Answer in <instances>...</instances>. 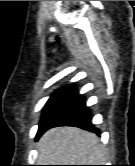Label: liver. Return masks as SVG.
Returning <instances> with one entry per match:
<instances>
[{"label":"liver","instance_id":"liver-1","mask_svg":"<svg viewBox=\"0 0 135 166\" xmlns=\"http://www.w3.org/2000/svg\"><path fill=\"white\" fill-rule=\"evenodd\" d=\"M40 165H101L106 151L99 138L76 127H57L45 132L37 143Z\"/></svg>","mask_w":135,"mask_h":166}]
</instances>
